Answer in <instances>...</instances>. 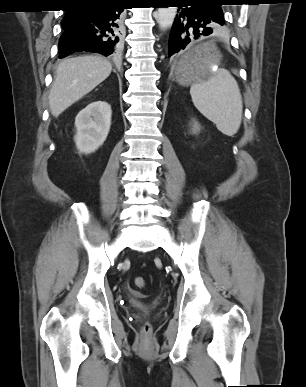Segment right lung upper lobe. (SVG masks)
<instances>
[{
	"instance_id": "right-lung-upper-lobe-1",
	"label": "right lung upper lobe",
	"mask_w": 306,
	"mask_h": 387,
	"mask_svg": "<svg viewBox=\"0 0 306 387\" xmlns=\"http://www.w3.org/2000/svg\"><path fill=\"white\" fill-rule=\"evenodd\" d=\"M68 1V5L71 6V7H78V6H82V5H96V4H101V3H104V2H107V1H111V0H67ZM70 10H67V14L65 16V18H73L71 16V14H69ZM68 27V26H67Z\"/></svg>"
}]
</instances>
